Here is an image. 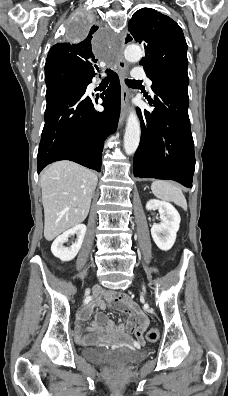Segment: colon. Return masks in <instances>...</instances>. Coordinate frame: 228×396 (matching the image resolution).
<instances>
[{"instance_id":"1","label":"colon","mask_w":228,"mask_h":396,"mask_svg":"<svg viewBox=\"0 0 228 396\" xmlns=\"http://www.w3.org/2000/svg\"><path fill=\"white\" fill-rule=\"evenodd\" d=\"M146 337L149 341H156L159 337V331L155 328H151L148 330Z\"/></svg>"}]
</instances>
